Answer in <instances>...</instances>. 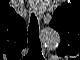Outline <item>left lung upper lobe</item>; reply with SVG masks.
<instances>
[{
  "label": "left lung upper lobe",
  "instance_id": "left-lung-upper-lobe-1",
  "mask_svg": "<svg viewBox=\"0 0 80 60\" xmlns=\"http://www.w3.org/2000/svg\"><path fill=\"white\" fill-rule=\"evenodd\" d=\"M66 4L61 5V7H59L53 17H52V21L50 23V26L54 29H56L61 37V48H65L66 44L68 43V35H69V14L70 11L67 9Z\"/></svg>",
  "mask_w": 80,
  "mask_h": 60
}]
</instances>
